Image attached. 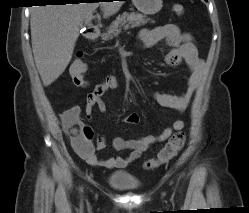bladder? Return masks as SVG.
<instances>
[{"label": "bladder", "instance_id": "1", "mask_svg": "<svg viewBox=\"0 0 249 213\" xmlns=\"http://www.w3.org/2000/svg\"><path fill=\"white\" fill-rule=\"evenodd\" d=\"M108 184L118 190H136L139 188V180L127 171H114L108 179Z\"/></svg>", "mask_w": 249, "mask_h": 213}]
</instances>
